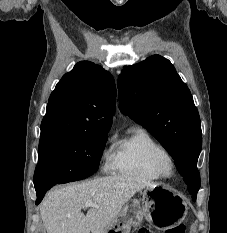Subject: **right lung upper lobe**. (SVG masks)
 I'll return each instance as SVG.
<instances>
[{"mask_svg": "<svg viewBox=\"0 0 227 233\" xmlns=\"http://www.w3.org/2000/svg\"><path fill=\"white\" fill-rule=\"evenodd\" d=\"M113 76L101 66L81 61L51 93L41 134L51 131L106 132L115 112Z\"/></svg>", "mask_w": 227, "mask_h": 233, "instance_id": "cb5924a9", "label": "right lung upper lobe"}]
</instances>
